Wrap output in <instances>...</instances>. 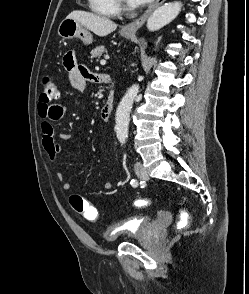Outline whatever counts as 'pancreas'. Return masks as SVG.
I'll list each match as a JSON object with an SVG mask.
<instances>
[{"label": "pancreas", "mask_w": 249, "mask_h": 294, "mask_svg": "<svg viewBox=\"0 0 249 294\" xmlns=\"http://www.w3.org/2000/svg\"><path fill=\"white\" fill-rule=\"evenodd\" d=\"M103 53H107L106 49L104 46H98L96 47L95 49H93L91 51V60L94 59V58H100L102 56Z\"/></svg>", "instance_id": "1"}]
</instances>
